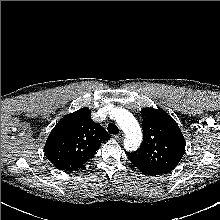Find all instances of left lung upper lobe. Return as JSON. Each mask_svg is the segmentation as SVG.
Returning <instances> with one entry per match:
<instances>
[{"label": "left lung upper lobe", "instance_id": "1", "mask_svg": "<svg viewBox=\"0 0 220 220\" xmlns=\"http://www.w3.org/2000/svg\"><path fill=\"white\" fill-rule=\"evenodd\" d=\"M143 141L134 153L126 152L129 159L139 162L158 174L171 172L185 152V139L178 124L162 109L145 108Z\"/></svg>", "mask_w": 220, "mask_h": 220}]
</instances>
